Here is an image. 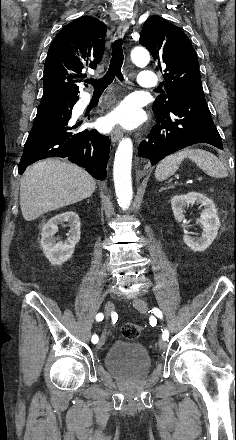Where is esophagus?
<instances>
[{
    "mask_svg": "<svg viewBox=\"0 0 236 440\" xmlns=\"http://www.w3.org/2000/svg\"><path fill=\"white\" fill-rule=\"evenodd\" d=\"M128 28H129L128 22L124 21L123 23H121L117 28L118 37L123 38ZM122 134H123L122 129L119 127H115L110 134L112 142L114 143L118 142L121 139Z\"/></svg>",
    "mask_w": 236,
    "mask_h": 440,
    "instance_id": "esophagus-1",
    "label": "esophagus"
}]
</instances>
